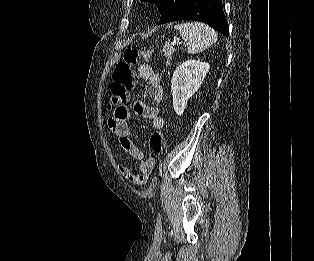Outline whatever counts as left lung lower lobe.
<instances>
[{"label":"left lung lower lobe","instance_id":"0a47b994","mask_svg":"<svg viewBox=\"0 0 314 261\" xmlns=\"http://www.w3.org/2000/svg\"><path fill=\"white\" fill-rule=\"evenodd\" d=\"M177 20L201 21L225 36L229 33L221 0H184L169 22Z\"/></svg>","mask_w":314,"mask_h":261}]
</instances>
